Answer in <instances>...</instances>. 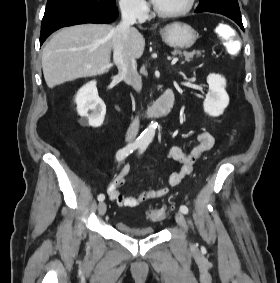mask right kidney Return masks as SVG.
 Segmentation results:
<instances>
[{"mask_svg":"<svg viewBox=\"0 0 280 283\" xmlns=\"http://www.w3.org/2000/svg\"><path fill=\"white\" fill-rule=\"evenodd\" d=\"M77 112L81 116L79 123L83 126L100 127L105 118L106 105L98 96L96 81H90L76 94Z\"/></svg>","mask_w":280,"mask_h":283,"instance_id":"obj_1","label":"right kidney"}]
</instances>
